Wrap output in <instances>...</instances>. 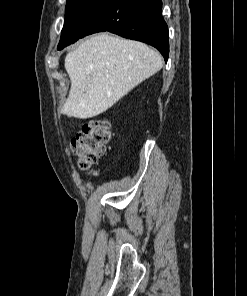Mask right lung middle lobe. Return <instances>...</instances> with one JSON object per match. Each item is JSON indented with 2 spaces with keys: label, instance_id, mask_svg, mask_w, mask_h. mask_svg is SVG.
Wrapping results in <instances>:
<instances>
[{
  "label": "right lung middle lobe",
  "instance_id": "obj_1",
  "mask_svg": "<svg viewBox=\"0 0 247 296\" xmlns=\"http://www.w3.org/2000/svg\"><path fill=\"white\" fill-rule=\"evenodd\" d=\"M108 0H67L65 21L58 50L84 37L88 21Z\"/></svg>",
  "mask_w": 247,
  "mask_h": 296
}]
</instances>
